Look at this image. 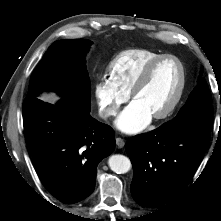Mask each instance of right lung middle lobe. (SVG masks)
<instances>
[{
    "mask_svg": "<svg viewBox=\"0 0 221 221\" xmlns=\"http://www.w3.org/2000/svg\"><path fill=\"white\" fill-rule=\"evenodd\" d=\"M90 44L84 39L55 41L31 75L28 97L37 96L44 90L57 91L90 108V79L84 65Z\"/></svg>",
    "mask_w": 221,
    "mask_h": 221,
    "instance_id": "1",
    "label": "right lung middle lobe"
}]
</instances>
